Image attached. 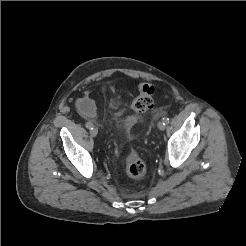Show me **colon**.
<instances>
[{"label":"colon","mask_w":246,"mask_h":246,"mask_svg":"<svg viewBox=\"0 0 246 246\" xmlns=\"http://www.w3.org/2000/svg\"><path fill=\"white\" fill-rule=\"evenodd\" d=\"M154 88L150 84H139V96L132 103L133 115L128 119L130 123L136 121V115L148 111L153 107ZM126 172L130 178L140 179L146 173L144 161L135 151H130L126 158Z\"/></svg>","instance_id":"1"}]
</instances>
